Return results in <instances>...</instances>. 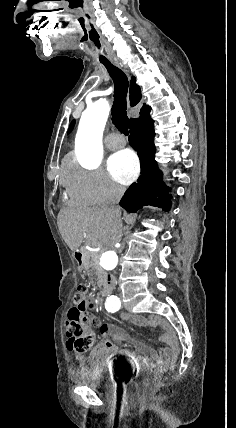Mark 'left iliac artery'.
I'll list each match as a JSON object with an SVG mask.
<instances>
[{
	"mask_svg": "<svg viewBox=\"0 0 236 428\" xmlns=\"http://www.w3.org/2000/svg\"><path fill=\"white\" fill-rule=\"evenodd\" d=\"M121 307V301L117 296H110L107 297L106 302H105V308L108 312H116L120 309Z\"/></svg>",
	"mask_w": 236,
	"mask_h": 428,
	"instance_id": "left-iliac-artery-1",
	"label": "left iliac artery"
}]
</instances>
